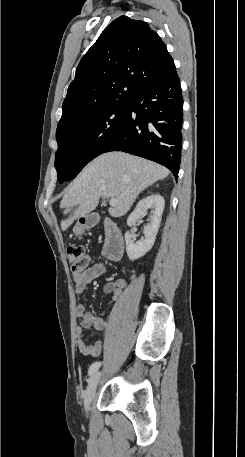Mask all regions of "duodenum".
<instances>
[{"instance_id": "obj_1", "label": "duodenum", "mask_w": 245, "mask_h": 457, "mask_svg": "<svg viewBox=\"0 0 245 457\" xmlns=\"http://www.w3.org/2000/svg\"><path fill=\"white\" fill-rule=\"evenodd\" d=\"M96 222L97 219L94 216H89L85 220V224L89 226L95 225ZM104 228L106 236L104 254L110 260H119L123 254L124 248L123 238L120 230L117 225L110 219H105Z\"/></svg>"}]
</instances>
